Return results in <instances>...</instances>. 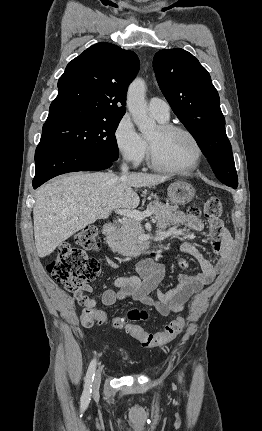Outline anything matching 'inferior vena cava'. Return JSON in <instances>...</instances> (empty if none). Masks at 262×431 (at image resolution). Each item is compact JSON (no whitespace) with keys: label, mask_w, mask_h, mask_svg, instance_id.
<instances>
[{"label":"inferior vena cava","mask_w":262,"mask_h":431,"mask_svg":"<svg viewBox=\"0 0 262 431\" xmlns=\"http://www.w3.org/2000/svg\"><path fill=\"white\" fill-rule=\"evenodd\" d=\"M121 170H122V174H123V175H126V174L128 173L129 168H128V166H127V164H126V163H123V164H122V166H121Z\"/></svg>","instance_id":"602c4592"}]
</instances>
